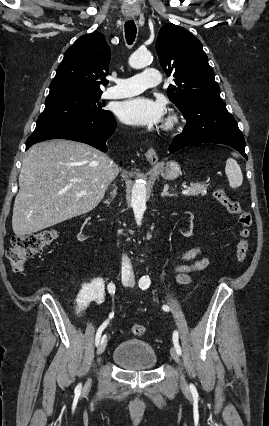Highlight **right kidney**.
I'll return each mask as SVG.
<instances>
[{
	"instance_id": "ca27d5eb",
	"label": "right kidney",
	"mask_w": 269,
	"mask_h": 426,
	"mask_svg": "<svg viewBox=\"0 0 269 426\" xmlns=\"http://www.w3.org/2000/svg\"><path fill=\"white\" fill-rule=\"evenodd\" d=\"M85 222L83 223L82 227H81V232L77 235V239L80 242L85 241L88 237L82 234V229L84 228V226L87 224L88 221L92 220L91 216H87L85 218ZM105 284L104 283H98V282H93L91 284H85L82 286V290L80 291L79 295H78V302L80 304H87L89 301L92 300V304L96 305L97 303L99 305L103 304V300L105 297V292L106 289L104 288Z\"/></svg>"
}]
</instances>
